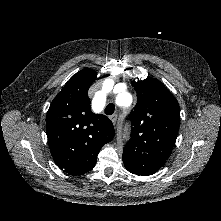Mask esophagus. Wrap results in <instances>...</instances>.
Returning a JSON list of instances; mask_svg holds the SVG:
<instances>
[{"mask_svg": "<svg viewBox=\"0 0 221 221\" xmlns=\"http://www.w3.org/2000/svg\"><path fill=\"white\" fill-rule=\"evenodd\" d=\"M110 119H111L112 123L115 125L116 122H117V114L111 115V116H110Z\"/></svg>", "mask_w": 221, "mask_h": 221, "instance_id": "obj_1", "label": "esophagus"}]
</instances>
